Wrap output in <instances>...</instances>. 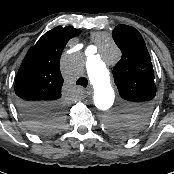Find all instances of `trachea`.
<instances>
[{"label":"trachea","instance_id":"3493384b","mask_svg":"<svg viewBox=\"0 0 174 174\" xmlns=\"http://www.w3.org/2000/svg\"><path fill=\"white\" fill-rule=\"evenodd\" d=\"M76 84L86 88L88 85V80L85 77H81L77 80Z\"/></svg>","mask_w":174,"mask_h":174}]
</instances>
